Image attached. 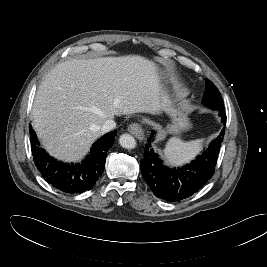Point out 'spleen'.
Listing matches in <instances>:
<instances>
[{
  "instance_id": "1",
  "label": "spleen",
  "mask_w": 267,
  "mask_h": 267,
  "mask_svg": "<svg viewBox=\"0 0 267 267\" xmlns=\"http://www.w3.org/2000/svg\"><path fill=\"white\" fill-rule=\"evenodd\" d=\"M203 139L184 142L178 138L170 139L164 149L169 164L180 166L189 163L200 152Z\"/></svg>"
}]
</instances>
